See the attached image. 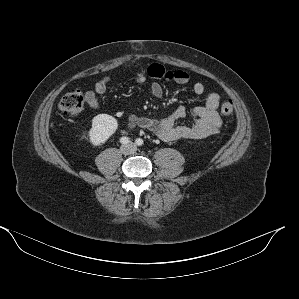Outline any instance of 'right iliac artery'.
Here are the masks:
<instances>
[{
  "mask_svg": "<svg viewBox=\"0 0 299 299\" xmlns=\"http://www.w3.org/2000/svg\"><path fill=\"white\" fill-rule=\"evenodd\" d=\"M120 142L122 143V144H127V143H129L130 142V139L128 138V137H122L121 139H120Z\"/></svg>",
  "mask_w": 299,
  "mask_h": 299,
  "instance_id": "obj_1",
  "label": "right iliac artery"
}]
</instances>
